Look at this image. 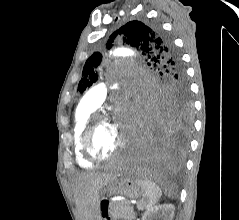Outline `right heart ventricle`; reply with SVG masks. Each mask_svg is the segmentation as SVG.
<instances>
[{
    "mask_svg": "<svg viewBox=\"0 0 239 220\" xmlns=\"http://www.w3.org/2000/svg\"><path fill=\"white\" fill-rule=\"evenodd\" d=\"M93 112L94 110L78 105L74 113V121H73V129H72L73 150H74L76 162L82 168L93 167V162L88 160L84 156L82 151V144H81L83 130Z\"/></svg>",
    "mask_w": 239,
    "mask_h": 220,
    "instance_id": "right-heart-ventricle-1",
    "label": "right heart ventricle"
}]
</instances>
